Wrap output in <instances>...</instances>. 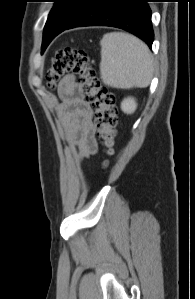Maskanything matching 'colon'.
<instances>
[{"instance_id": "5ec220e1", "label": "colon", "mask_w": 195, "mask_h": 299, "mask_svg": "<svg viewBox=\"0 0 195 299\" xmlns=\"http://www.w3.org/2000/svg\"><path fill=\"white\" fill-rule=\"evenodd\" d=\"M70 72L78 75L82 91L95 109L99 138L105 153L111 155L116 143L118 124L115 95L100 84L87 53L72 48L60 50L53 57L46 76L48 85L54 87Z\"/></svg>"}]
</instances>
